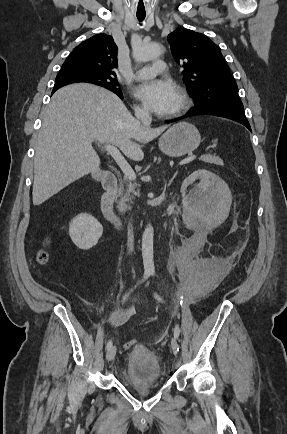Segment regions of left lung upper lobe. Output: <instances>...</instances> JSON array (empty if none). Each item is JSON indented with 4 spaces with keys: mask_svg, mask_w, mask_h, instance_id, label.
I'll return each mask as SVG.
<instances>
[{
    "mask_svg": "<svg viewBox=\"0 0 287 434\" xmlns=\"http://www.w3.org/2000/svg\"><path fill=\"white\" fill-rule=\"evenodd\" d=\"M176 62L184 67L183 80L196 107L243 106L223 56L207 36L186 28L168 35Z\"/></svg>",
    "mask_w": 287,
    "mask_h": 434,
    "instance_id": "5c2ea615",
    "label": "left lung upper lobe"
}]
</instances>
